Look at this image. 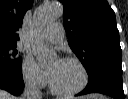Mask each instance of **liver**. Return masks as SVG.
I'll return each mask as SVG.
<instances>
[{"instance_id": "1", "label": "liver", "mask_w": 128, "mask_h": 99, "mask_svg": "<svg viewBox=\"0 0 128 99\" xmlns=\"http://www.w3.org/2000/svg\"><path fill=\"white\" fill-rule=\"evenodd\" d=\"M0 99H16V98L11 94H9L8 92L0 89ZM86 99H106V98L102 95L94 94L87 96Z\"/></svg>"}]
</instances>
